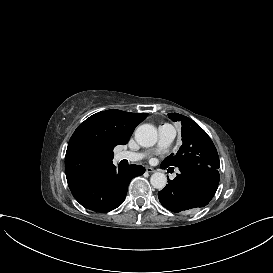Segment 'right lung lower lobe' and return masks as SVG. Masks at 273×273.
<instances>
[{
    "label": "right lung lower lobe",
    "instance_id": "98d812e1",
    "mask_svg": "<svg viewBox=\"0 0 273 273\" xmlns=\"http://www.w3.org/2000/svg\"><path fill=\"white\" fill-rule=\"evenodd\" d=\"M144 172L145 168L142 166L122 167L119 165L117 168L112 163L70 190L83 207L105 213L123 203L131 179Z\"/></svg>",
    "mask_w": 273,
    "mask_h": 273
}]
</instances>
